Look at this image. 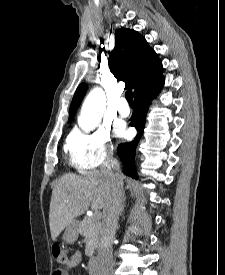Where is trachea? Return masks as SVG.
<instances>
[{
  "instance_id": "trachea-1",
  "label": "trachea",
  "mask_w": 225,
  "mask_h": 275,
  "mask_svg": "<svg viewBox=\"0 0 225 275\" xmlns=\"http://www.w3.org/2000/svg\"><path fill=\"white\" fill-rule=\"evenodd\" d=\"M125 97L130 105H134L132 90H127L125 93Z\"/></svg>"
}]
</instances>
